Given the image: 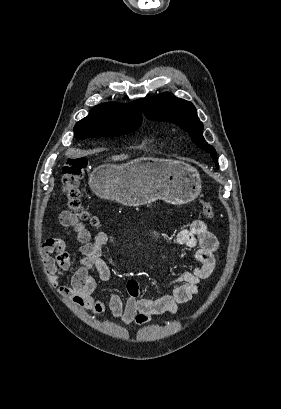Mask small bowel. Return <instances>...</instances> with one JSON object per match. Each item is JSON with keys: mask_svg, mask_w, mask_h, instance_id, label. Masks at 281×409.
Returning <instances> with one entry per match:
<instances>
[{"mask_svg": "<svg viewBox=\"0 0 281 409\" xmlns=\"http://www.w3.org/2000/svg\"><path fill=\"white\" fill-rule=\"evenodd\" d=\"M59 220L62 226L76 232L80 243L78 268L71 278L70 286L58 287L59 292L75 305L89 309L94 314H100L108 308L113 319L129 327L144 325L160 314L177 313L178 306L190 301L198 293V284L213 275L219 262L216 236L205 222L196 219L190 222L187 229L177 232L172 242L195 249L194 258L200 265L179 273L165 284L173 288L172 295L155 299L140 296L138 282L132 279L127 282L128 297L125 300L118 294L99 299L95 295L98 280L107 281L111 277V271L102 259V250L112 237L99 232L92 238L88 229L69 210H63ZM152 237L155 238V235L152 234ZM54 252L57 253L56 257L50 255ZM41 254L51 282L56 286L59 278L71 266L65 242L59 238H49L41 246ZM93 270H96L97 277L92 274Z\"/></svg>", "mask_w": 281, "mask_h": 409, "instance_id": "c3829d8e", "label": "small bowel"}]
</instances>
